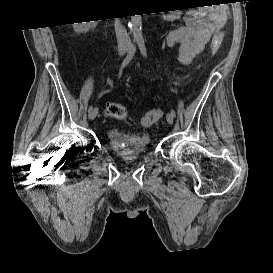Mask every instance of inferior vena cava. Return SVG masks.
<instances>
[{
  "label": "inferior vena cava",
  "mask_w": 273,
  "mask_h": 273,
  "mask_svg": "<svg viewBox=\"0 0 273 273\" xmlns=\"http://www.w3.org/2000/svg\"><path fill=\"white\" fill-rule=\"evenodd\" d=\"M115 32L119 47H130L131 40L126 29L121 25L120 21L116 18Z\"/></svg>",
  "instance_id": "obj_1"
}]
</instances>
